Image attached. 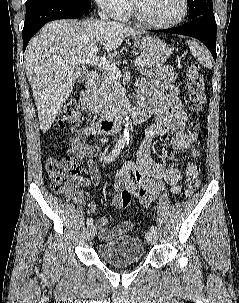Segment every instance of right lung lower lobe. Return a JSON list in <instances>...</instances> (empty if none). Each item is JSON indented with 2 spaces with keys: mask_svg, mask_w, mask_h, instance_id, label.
<instances>
[{
  "mask_svg": "<svg viewBox=\"0 0 239 303\" xmlns=\"http://www.w3.org/2000/svg\"><path fill=\"white\" fill-rule=\"evenodd\" d=\"M91 8L89 1L46 0L26 6L25 23L22 32L23 51L32 36L47 22L57 19L78 18Z\"/></svg>",
  "mask_w": 239,
  "mask_h": 303,
  "instance_id": "1",
  "label": "right lung lower lobe"
}]
</instances>
